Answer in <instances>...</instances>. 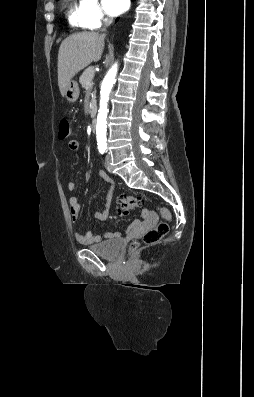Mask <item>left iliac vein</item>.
Listing matches in <instances>:
<instances>
[{"instance_id":"1","label":"left iliac vein","mask_w":254,"mask_h":397,"mask_svg":"<svg viewBox=\"0 0 254 397\" xmlns=\"http://www.w3.org/2000/svg\"><path fill=\"white\" fill-rule=\"evenodd\" d=\"M110 161H111V160H110V156L107 155V156H106V160H105V167H106V169H107L109 172L112 171V167H111Z\"/></svg>"}]
</instances>
